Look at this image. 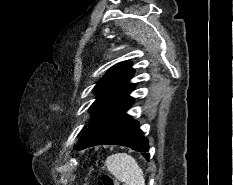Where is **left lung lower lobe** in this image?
Returning <instances> with one entry per match:
<instances>
[{"mask_svg":"<svg viewBox=\"0 0 233 185\" xmlns=\"http://www.w3.org/2000/svg\"><path fill=\"white\" fill-rule=\"evenodd\" d=\"M134 86L117 98L103 116L81 136L77 150L100 144L122 145L132 148L149 161V143L139 129V123L126 114L133 99Z\"/></svg>","mask_w":233,"mask_h":185,"instance_id":"left-lung-lower-lobe-1","label":"left lung lower lobe"}]
</instances>
